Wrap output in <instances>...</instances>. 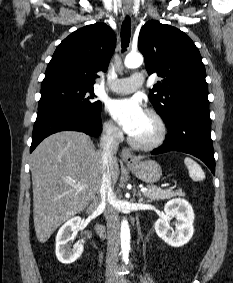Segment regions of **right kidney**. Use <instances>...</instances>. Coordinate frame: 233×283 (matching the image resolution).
<instances>
[{
	"label": "right kidney",
	"mask_w": 233,
	"mask_h": 283,
	"mask_svg": "<svg viewBox=\"0 0 233 283\" xmlns=\"http://www.w3.org/2000/svg\"><path fill=\"white\" fill-rule=\"evenodd\" d=\"M84 229L81 217L77 216L68 220L59 229L56 236V256L63 264L75 262L84 250V240L78 241L71 249L68 242L71 240V232L81 231Z\"/></svg>",
	"instance_id": "right-kidney-1"
}]
</instances>
